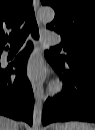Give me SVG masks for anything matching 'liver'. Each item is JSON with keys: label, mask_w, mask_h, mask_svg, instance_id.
I'll use <instances>...</instances> for the list:
<instances>
[{"label": "liver", "mask_w": 95, "mask_h": 130, "mask_svg": "<svg viewBox=\"0 0 95 130\" xmlns=\"http://www.w3.org/2000/svg\"><path fill=\"white\" fill-rule=\"evenodd\" d=\"M19 124L8 117H0V130H19Z\"/></svg>", "instance_id": "1"}]
</instances>
